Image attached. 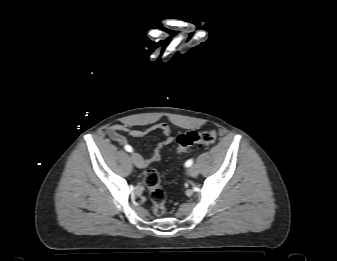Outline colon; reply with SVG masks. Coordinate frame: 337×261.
<instances>
[{
	"label": "colon",
	"mask_w": 337,
	"mask_h": 261,
	"mask_svg": "<svg viewBox=\"0 0 337 261\" xmlns=\"http://www.w3.org/2000/svg\"><path fill=\"white\" fill-rule=\"evenodd\" d=\"M216 131L213 129L196 132L190 131L177 138L176 151L179 154L189 151L196 145H208L216 140ZM144 184L149 190L150 200L153 204V212L156 216H162L166 212V194L161 187L160 177L156 170L148 169L144 173Z\"/></svg>",
	"instance_id": "1"
}]
</instances>
